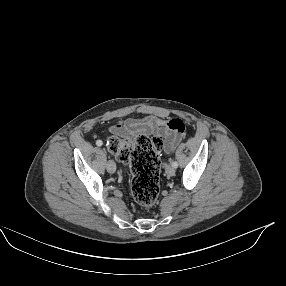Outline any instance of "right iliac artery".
<instances>
[{
    "instance_id": "1",
    "label": "right iliac artery",
    "mask_w": 286,
    "mask_h": 286,
    "mask_svg": "<svg viewBox=\"0 0 286 286\" xmlns=\"http://www.w3.org/2000/svg\"><path fill=\"white\" fill-rule=\"evenodd\" d=\"M102 144H103V142H102L101 140H97V141H96V145H97V146H102Z\"/></svg>"
}]
</instances>
